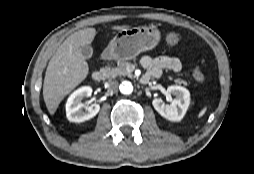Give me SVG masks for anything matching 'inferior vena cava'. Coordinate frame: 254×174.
<instances>
[{
	"label": "inferior vena cava",
	"instance_id": "inferior-vena-cava-1",
	"mask_svg": "<svg viewBox=\"0 0 254 174\" xmlns=\"http://www.w3.org/2000/svg\"><path fill=\"white\" fill-rule=\"evenodd\" d=\"M118 85H119V83H118V81H116V80H112V81H110V82L108 83L109 89H110L111 91H113V92H115V91L117 90Z\"/></svg>",
	"mask_w": 254,
	"mask_h": 174
}]
</instances>
